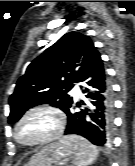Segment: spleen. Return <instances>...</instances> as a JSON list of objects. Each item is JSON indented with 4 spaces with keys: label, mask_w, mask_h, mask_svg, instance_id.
Here are the masks:
<instances>
[{
    "label": "spleen",
    "mask_w": 135,
    "mask_h": 166,
    "mask_svg": "<svg viewBox=\"0 0 135 166\" xmlns=\"http://www.w3.org/2000/svg\"><path fill=\"white\" fill-rule=\"evenodd\" d=\"M66 144L74 154V166H88L96 160L98 149L88 140L77 135L66 136L60 140Z\"/></svg>",
    "instance_id": "1"
}]
</instances>
